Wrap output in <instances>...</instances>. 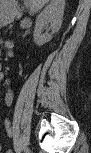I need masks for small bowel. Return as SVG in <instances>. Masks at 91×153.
I'll return each mask as SVG.
<instances>
[{
  "label": "small bowel",
  "mask_w": 91,
  "mask_h": 153,
  "mask_svg": "<svg viewBox=\"0 0 91 153\" xmlns=\"http://www.w3.org/2000/svg\"><path fill=\"white\" fill-rule=\"evenodd\" d=\"M2 77H3V76H2ZM4 84H5V85H9V82L4 81ZM12 100H13L12 92L8 91V92L5 94V96H4V102H5L6 105H10L11 102H12ZM6 124L8 125V122H6ZM8 135H9L10 138L12 137V134H11L10 131L8 132Z\"/></svg>",
  "instance_id": "1"
}]
</instances>
